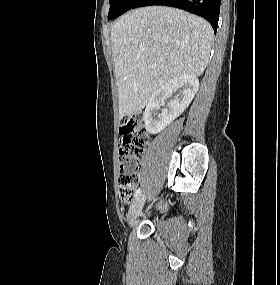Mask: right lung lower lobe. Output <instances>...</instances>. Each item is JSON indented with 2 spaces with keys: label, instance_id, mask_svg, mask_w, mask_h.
<instances>
[{
  "label": "right lung lower lobe",
  "instance_id": "right-lung-lower-lobe-1",
  "mask_svg": "<svg viewBox=\"0 0 280 285\" xmlns=\"http://www.w3.org/2000/svg\"><path fill=\"white\" fill-rule=\"evenodd\" d=\"M221 0H137L132 8L166 5L186 10L205 18L217 31Z\"/></svg>",
  "mask_w": 280,
  "mask_h": 285
}]
</instances>
